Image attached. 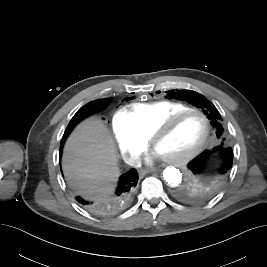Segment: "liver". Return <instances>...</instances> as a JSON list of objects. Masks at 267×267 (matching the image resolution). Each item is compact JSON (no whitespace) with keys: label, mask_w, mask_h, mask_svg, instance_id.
<instances>
[{"label":"liver","mask_w":267,"mask_h":267,"mask_svg":"<svg viewBox=\"0 0 267 267\" xmlns=\"http://www.w3.org/2000/svg\"><path fill=\"white\" fill-rule=\"evenodd\" d=\"M63 161L69 185L88 199L109 195L120 175L113 139L96 119L78 126L67 141Z\"/></svg>","instance_id":"6515ba94"}]
</instances>
